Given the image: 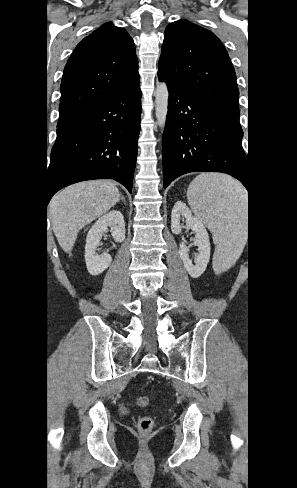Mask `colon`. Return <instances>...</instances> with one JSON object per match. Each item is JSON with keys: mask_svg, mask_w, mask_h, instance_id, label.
I'll return each mask as SVG.
<instances>
[{"mask_svg": "<svg viewBox=\"0 0 297 488\" xmlns=\"http://www.w3.org/2000/svg\"><path fill=\"white\" fill-rule=\"evenodd\" d=\"M137 404L139 406H146L149 404V397L142 395L137 397ZM154 421L150 416H143L138 421V430L141 433H149L153 428Z\"/></svg>", "mask_w": 297, "mask_h": 488, "instance_id": "1", "label": "colon"}]
</instances>
